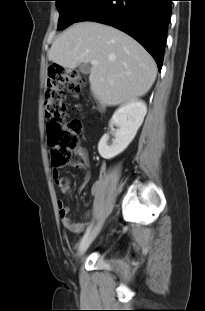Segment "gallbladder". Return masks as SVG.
<instances>
[{
  "label": "gallbladder",
  "mask_w": 205,
  "mask_h": 311,
  "mask_svg": "<svg viewBox=\"0 0 205 311\" xmlns=\"http://www.w3.org/2000/svg\"><path fill=\"white\" fill-rule=\"evenodd\" d=\"M78 70H79V72H81L82 74H88V73H90V67H89L87 64H84V63H82V64H80V65L78 66Z\"/></svg>",
  "instance_id": "obj_1"
}]
</instances>
